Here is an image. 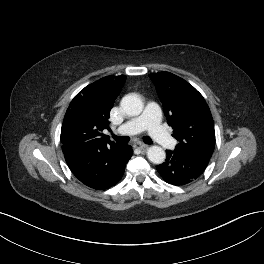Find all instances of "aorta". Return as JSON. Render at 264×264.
<instances>
[{"mask_svg":"<svg viewBox=\"0 0 264 264\" xmlns=\"http://www.w3.org/2000/svg\"><path fill=\"white\" fill-rule=\"evenodd\" d=\"M121 107L126 114L137 116L143 110V102L136 94H128L122 98ZM147 157L154 164H162L165 161L166 153L160 146H151L147 150Z\"/></svg>","mask_w":264,"mask_h":264,"instance_id":"762f6f07","label":"aorta"}]
</instances>
